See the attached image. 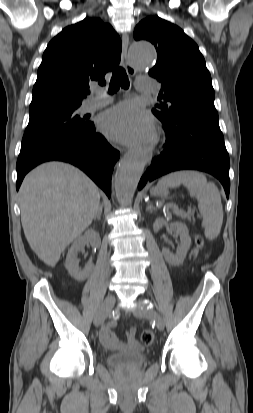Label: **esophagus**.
Listing matches in <instances>:
<instances>
[{"mask_svg":"<svg viewBox=\"0 0 253 413\" xmlns=\"http://www.w3.org/2000/svg\"><path fill=\"white\" fill-rule=\"evenodd\" d=\"M129 38L128 35H124L122 38V61L127 73L130 76H134L136 74L135 68L130 64L127 50H128ZM142 153L145 154L146 161L149 162L152 159V150L150 148H145L142 150Z\"/></svg>","mask_w":253,"mask_h":413,"instance_id":"obj_1","label":"esophagus"}]
</instances>
